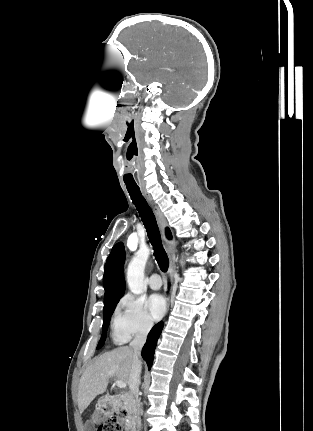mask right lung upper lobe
Listing matches in <instances>:
<instances>
[{
	"label": "right lung upper lobe",
	"mask_w": 313,
	"mask_h": 431,
	"mask_svg": "<svg viewBox=\"0 0 313 431\" xmlns=\"http://www.w3.org/2000/svg\"><path fill=\"white\" fill-rule=\"evenodd\" d=\"M168 238H171L170 230L166 229ZM125 250L123 243L119 242L112 248L105 265L103 285L105 289L104 306L119 301L125 292L124 280Z\"/></svg>",
	"instance_id": "obj_1"
}]
</instances>
